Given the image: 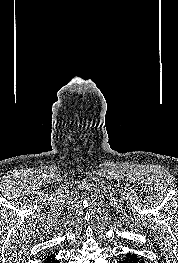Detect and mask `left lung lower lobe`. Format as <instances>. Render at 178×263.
<instances>
[{"mask_svg": "<svg viewBox=\"0 0 178 263\" xmlns=\"http://www.w3.org/2000/svg\"><path fill=\"white\" fill-rule=\"evenodd\" d=\"M120 263H142L136 254L128 253Z\"/></svg>", "mask_w": 178, "mask_h": 263, "instance_id": "left-lung-lower-lobe-1", "label": "left lung lower lobe"}]
</instances>
